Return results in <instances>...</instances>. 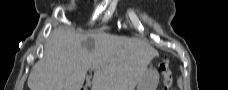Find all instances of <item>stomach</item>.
<instances>
[{"mask_svg":"<svg viewBox=\"0 0 228 90\" xmlns=\"http://www.w3.org/2000/svg\"><path fill=\"white\" fill-rule=\"evenodd\" d=\"M159 80L158 71L155 68L146 70L142 80L137 86V90H154Z\"/></svg>","mask_w":228,"mask_h":90,"instance_id":"0dacf381","label":"stomach"}]
</instances>
